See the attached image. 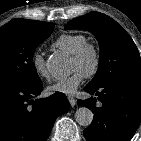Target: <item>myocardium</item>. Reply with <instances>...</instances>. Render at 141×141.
I'll return each instance as SVG.
<instances>
[{
    "label": "myocardium",
    "mask_w": 141,
    "mask_h": 141,
    "mask_svg": "<svg viewBox=\"0 0 141 141\" xmlns=\"http://www.w3.org/2000/svg\"><path fill=\"white\" fill-rule=\"evenodd\" d=\"M88 56L91 58V65L84 73L86 78L96 75L100 68L101 52L99 47L95 43L86 41L72 54V59L78 62L83 61Z\"/></svg>",
    "instance_id": "1"
}]
</instances>
